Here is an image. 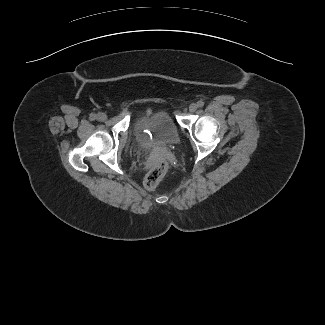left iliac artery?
<instances>
[{"instance_id":"44dca946","label":"left iliac artery","mask_w":325,"mask_h":325,"mask_svg":"<svg viewBox=\"0 0 325 325\" xmlns=\"http://www.w3.org/2000/svg\"><path fill=\"white\" fill-rule=\"evenodd\" d=\"M197 106H198V107H203V106H204V102H203L202 100H199V101L197 102Z\"/></svg>"}]
</instances>
